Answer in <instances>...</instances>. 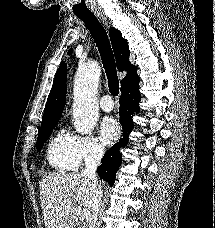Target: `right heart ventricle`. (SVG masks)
<instances>
[{
  "label": "right heart ventricle",
  "mask_w": 215,
  "mask_h": 228,
  "mask_svg": "<svg viewBox=\"0 0 215 228\" xmlns=\"http://www.w3.org/2000/svg\"><path fill=\"white\" fill-rule=\"evenodd\" d=\"M47 162L58 172L76 171L80 165L77 137L59 130L48 143Z\"/></svg>",
  "instance_id": "right-heart-ventricle-1"
}]
</instances>
